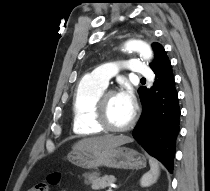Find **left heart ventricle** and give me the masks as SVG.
I'll return each instance as SVG.
<instances>
[{"label": "left heart ventricle", "instance_id": "obj_1", "mask_svg": "<svg viewBox=\"0 0 210 191\" xmlns=\"http://www.w3.org/2000/svg\"><path fill=\"white\" fill-rule=\"evenodd\" d=\"M133 109L128 107L118 96L114 94L107 99V116L110 124L115 127L126 125L131 119Z\"/></svg>", "mask_w": 210, "mask_h": 191}]
</instances>
